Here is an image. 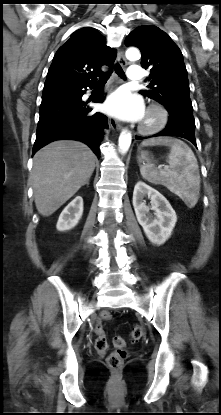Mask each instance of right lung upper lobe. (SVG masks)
<instances>
[{
	"label": "right lung upper lobe",
	"mask_w": 221,
	"mask_h": 415,
	"mask_svg": "<svg viewBox=\"0 0 221 415\" xmlns=\"http://www.w3.org/2000/svg\"><path fill=\"white\" fill-rule=\"evenodd\" d=\"M116 51L91 27L74 32L56 52L49 68L44 90L76 87L96 82L103 65L110 66Z\"/></svg>",
	"instance_id": "obj_1"
}]
</instances>
